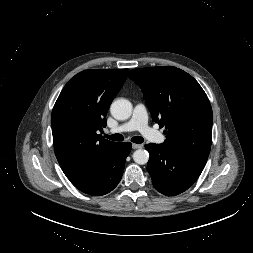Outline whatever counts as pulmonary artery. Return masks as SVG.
<instances>
[{
  "label": "pulmonary artery",
  "mask_w": 253,
  "mask_h": 253,
  "mask_svg": "<svg viewBox=\"0 0 253 253\" xmlns=\"http://www.w3.org/2000/svg\"><path fill=\"white\" fill-rule=\"evenodd\" d=\"M139 131L145 138L155 143H163L165 137L158 131L148 125V114L144 104H137L134 107L132 117L129 121L107 130V133H123L131 131Z\"/></svg>",
  "instance_id": "pulmonary-artery-1"
}]
</instances>
